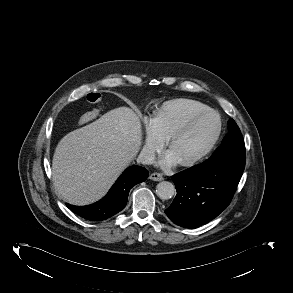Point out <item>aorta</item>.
Listing matches in <instances>:
<instances>
[{"instance_id":"1","label":"aorta","mask_w":293,"mask_h":293,"mask_svg":"<svg viewBox=\"0 0 293 293\" xmlns=\"http://www.w3.org/2000/svg\"><path fill=\"white\" fill-rule=\"evenodd\" d=\"M176 193L175 186L168 181H162L156 186V194L160 199L167 200Z\"/></svg>"}]
</instances>
